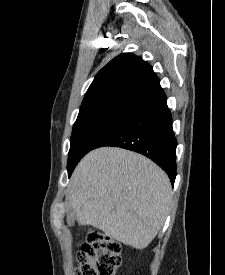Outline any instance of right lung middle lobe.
Listing matches in <instances>:
<instances>
[{"mask_svg": "<svg viewBox=\"0 0 225 275\" xmlns=\"http://www.w3.org/2000/svg\"><path fill=\"white\" fill-rule=\"evenodd\" d=\"M127 114L100 113L76 120L68 155V176L72 174L80 159L94 149L95 145Z\"/></svg>", "mask_w": 225, "mask_h": 275, "instance_id": "right-lung-middle-lobe-1", "label": "right lung middle lobe"}]
</instances>
